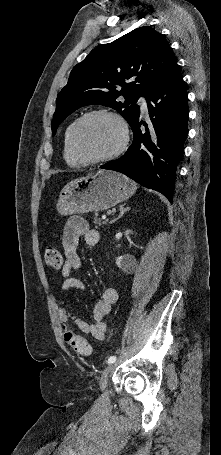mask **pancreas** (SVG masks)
<instances>
[{
	"instance_id": "1",
	"label": "pancreas",
	"mask_w": 221,
	"mask_h": 455,
	"mask_svg": "<svg viewBox=\"0 0 221 455\" xmlns=\"http://www.w3.org/2000/svg\"><path fill=\"white\" fill-rule=\"evenodd\" d=\"M93 222L99 226L106 224V221H102L100 218H98L96 216L94 217Z\"/></svg>"
}]
</instances>
